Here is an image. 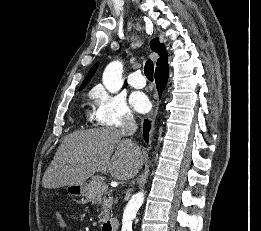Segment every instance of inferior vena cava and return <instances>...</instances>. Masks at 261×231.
Returning <instances> with one entry per match:
<instances>
[{
	"label": "inferior vena cava",
	"instance_id": "1",
	"mask_svg": "<svg viewBox=\"0 0 261 231\" xmlns=\"http://www.w3.org/2000/svg\"><path fill=\"white\" fill-rule=\"evenodd\" d=\"M137 130V124L133 116H126L121 124V134L125 137L132 136ZM129 143H133L130 139H126Z\"/></svg>",
	"mask_w": 261,
	"mask_h": 231
}]
</instances>
